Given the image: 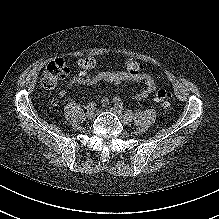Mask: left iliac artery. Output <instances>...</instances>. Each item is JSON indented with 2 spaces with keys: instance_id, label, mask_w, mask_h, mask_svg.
Here are the masks:
<instances>
[{
  "instance_id": "44dca946",
  "label": "left iliac artery",
  "mask_w": 219,
  "mask_h": 219,
  "mask_svg": "<svg viewBox=\"0 0 219 219\" xmlns=\"http://www.w3.org/2000/svg\"><path fill=\"white\" fill-rule=\"evenodd\" d=\"M115 105L119 107L122 111L124 110L122 103H116Z\"/></svg>"
}]
</instances>
